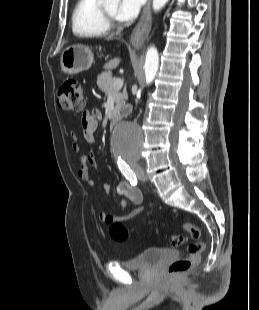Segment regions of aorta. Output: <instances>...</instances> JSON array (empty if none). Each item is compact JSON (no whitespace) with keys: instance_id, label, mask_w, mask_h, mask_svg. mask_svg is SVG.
<instances>
[{"instance_id":"aorta-1","label":"aorta","mask_w":259,"mask_h":310,"mask_svg":"<svg viewBox=\"0 0 259 310\" xmlns=\"http://www.w3.org/2000/svg\"><path fill=\"white\" fill-rule=\"evenodd\" d=\"M169 0H153V10H161ZM106 3H118L119 0H105ZM159 67V55L154 46L148 48L145 57L146 84L153 82ZM144 136L140 127L133 123H123L113 136L115 153L122 158H136L139 156Z\"/></svg>"}]
</instances>
